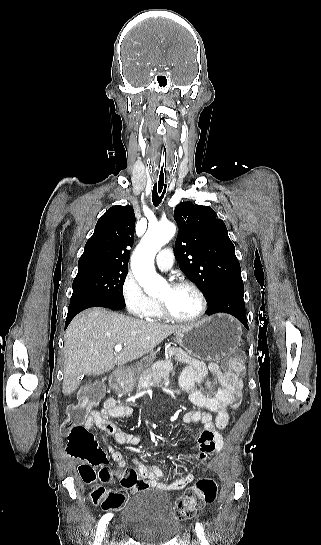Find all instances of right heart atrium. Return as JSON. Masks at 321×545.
Returning <instances> with one entry per match:
<instances>
[{"label":"right heart atrium","instance_id":"d8ad5b80","mask_svg":"<svg viewBox=\"0 0 321 545\" xmlns=\"http://www.w3.org/2000/svg\"><path fill=\"white\" fill-rule=\"evenodd\" d=\"M120 292L131 315L140 319H149L152 316L157 305L146 297L141 282L131 271L125 275Z\"/></svg>","mask_w":321,"mask_h":545}]
</instances>
